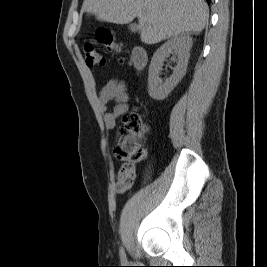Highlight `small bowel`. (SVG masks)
Masks as SVG:
<instances>
[{
  "label": "small bowel",
  "instance_id": "obj_1",
  "mask_svg": "<svg viewBox=\"0 0 267 267\" xmlns=\"http://www.w3.org/2000/svg\"><path fill=\"white\" fill-rule=\"evenodd\" d=\"M129 94L124 82L117 79L109 80L101 89L98 96V103L103 112L104 125L107 129L116 127L119 117L125 115L129 109ZM113 102L112 111H107L109 103ZM114 191L116 194L126 193L132 186L134 180V168L123 165L114 174Z\"/></svg>",
  "mask_w": 267,
  "mask_h": 267
}]
</instances>
